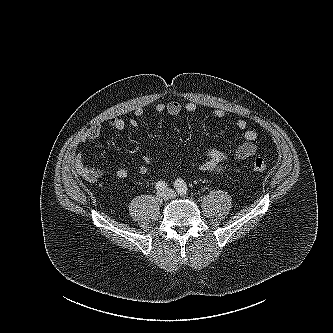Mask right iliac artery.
I'll return each mask as SVG.
<instances>
[{
  "label": "right iliac artery",
  "mask_w": 333,
  "mask_h": 333,
  "mask_svg": "<svg viewBox=\"0 0 333 333\" xmlns=\"http://www.w3.org/2000/svg\"><path fill=\"white\" fill-rule=\"evenodd\" d=\"M155 187L157 190H164L167 188V183L165 181H158Z\"/></svg>",
  "instance_id": "1"
}]
</instances>
